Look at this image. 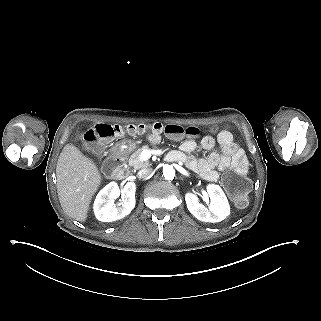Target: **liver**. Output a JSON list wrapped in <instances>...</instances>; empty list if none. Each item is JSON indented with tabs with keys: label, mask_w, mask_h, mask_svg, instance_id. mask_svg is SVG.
<instances>
[{
	"label": "liver",
	"mask_w": 321,
	"mask_h": 321,
	"mask_svg": "<svg viewBox=\"0 0 321 321\" xmlns=\"http://www.w3.org/2000/svg\"><path fill=\"white\" fill-rule=\"evenodd\" d=\"M56 176L62 209L71 218L84 222L92 196L101 183L95 163L77 147L67 144L59 155Z\"/></svg>",
	"instance_id": "6515ba94"
}]
</instances>
